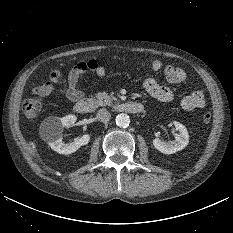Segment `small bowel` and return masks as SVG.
Segmentation results:
<instances>
[{"label": "small bowel", "mask_w": 233, "mask_h": 233, "mask_svg": "<svg viewBox=\"0 0 233 233\" xmlns=\"http://www.w3.org/2000/svg\"><path fill=\"white\" fill-rule=\"evenodd\" d=\"M149 65L154 71L162 70L169 83L177 84L186 79V74L181 68L172 65L163 66L159 60H151ZM88 72H92L97 77H104L107 70L105 66L95 59L81 61L69 71L67 76L60 70L52 71L48 81L36 86L33 92L38 96H47L57 90L63 93L70 101H77L85 94L84 90L79 87V83ZM143 87L150 96L161 102H170L174 98L171 89L160 85L154 78H146ZM181 106L186 111L203 109L206 106L204 91L202 89L192 90L183 97Z\"/></svg>", "instance_id": "1"}]
</instances>
